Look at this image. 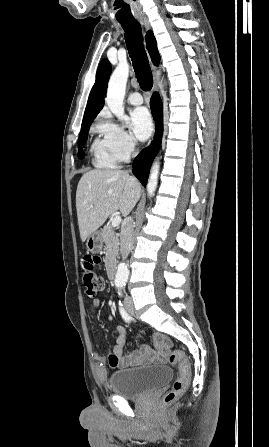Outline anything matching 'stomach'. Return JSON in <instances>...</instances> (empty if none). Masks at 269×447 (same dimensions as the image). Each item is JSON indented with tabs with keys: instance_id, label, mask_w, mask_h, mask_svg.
Returning a JSON list of instances; mask_svg holds the SVG:
<instances>
[{
	"instance_id": "obj_1",
	"label": "stomach",
	"mask_w": 269,
	"mask_h": 447,
	"mask_svg": "<svg viewBox=\"0 0 269 447\" xmlns=\"http://www.w3.org/2000/svg\"><path fill=\"white\" fill-rule=\"evenodd\" d=\"M104 243V237L102 231L100 229H96L93 233H90L86 239L87 249L92 251V253H98L101 251Z\"/></svg>"
}]
</instances>
